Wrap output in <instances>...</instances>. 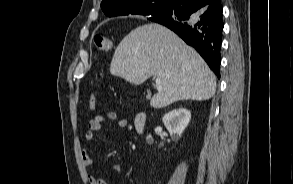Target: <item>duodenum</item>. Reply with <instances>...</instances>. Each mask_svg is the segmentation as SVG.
I'll list each match as a JSON object with an SVG mask.
<instances>
[{"mask_svg":"<svg viewBox=\"0 0 293 184\" xmlns=\"http://www.w3.org/2000/svg\"><path fill=\"white\" fill-rule=\"evenodd\" d=\"M147 123V115L145 113H138L134 119V127L137 133H142Z\"/></svg>","mask_w":293,"mask_h":184,"instance_id":"410a0bca","label":"duodenum"}]
</instances>
